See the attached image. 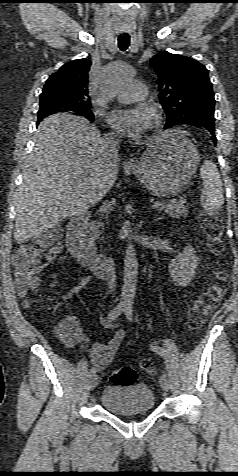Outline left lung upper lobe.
Here are the masks:
<instances>
[{
  "mask_svg": "<svg viewBox=\"0 0 238 476\" xmlns=\"http://www.w3.org/2000/svg\"><path fill=\"white\" fill-rule=\"evenodd\" d=\"M150 65L158 74L160 103L167 115L164 128L215 121L214 93L204 65L167 51L155 55Z\"/></svg>",
  "mask_w": 238,
  "mask_h": 476,
  "instance_id": "5c2ea615",
  "label": "left lung upper lobe"
}]
</instances>
